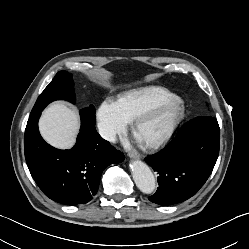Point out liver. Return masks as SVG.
<instances>
[{"mask_svg":"<svg viewBox=\"0 0 249 249\" xmlns=\"http://www.w3.org/2000/svg\"><path fill=\"white\" fill-rule=\"evenodd\" d=\"M79 127L78 113L63 102L50 104L39 121L42 137L59 149H69L74 145Z\"/></svg>","mask_w":249,"mask_h":249,"instance_id":"obj_1","label":"liver"}]
</instances>
